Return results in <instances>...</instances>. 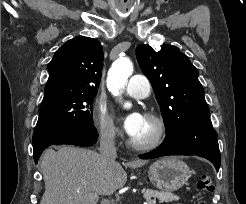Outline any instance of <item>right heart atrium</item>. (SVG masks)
Wrapping results in <instances>:
<instances>
[{
    "instance_id": "1",
    "label": "right heart atrium",
    "mask_w": 246,
    "mask_h": 204,
    "mask_svg": "<svg viewBox=\"0 0 246 204\" xmlns=\"http://www.w3.org/2000/svg\"><path fill=\"white\" fill-rule=\"evenodd\" d=\"M92 120L101 140L113 142L117 139L119 129L114 118L103 104L96 103L93 109Z\"/></svg>"
}]
</instances>
